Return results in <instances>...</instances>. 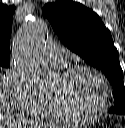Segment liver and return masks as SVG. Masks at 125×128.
Segmentation results:
<instances>
[{"instance_id":"liver-1","label":"liver","mask_w":125,"mask_h":128,"mask_svg":"<svg viewBox=\"0 0 125 128\" xmlns=\"http://www.w3.org/2000/svg\"><path fill=\"white\" fill-rule=\"evenodd\" d=\"M9 85L0 75V128L21 127V119H15L11 111ZM56 126H51V128Z\"/></svg>"}]
</instances>
